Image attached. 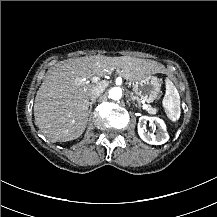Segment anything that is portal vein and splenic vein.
<instances>
[{"mask_svg": "<svg viewBox=\"0 0 217 217\" xmlns=\"http://www.w3.org/2000/svg\"><path fill=\"white\" fill-rule=\"evenodd\" d=\"M93 78H94V81H95V82L100 81V79H101L100 77H97V76H95V77H93ZM93 78H92V79H93Z\"/></svg>", "mask_w": 217, "mask_h": 217, "instance_id": "18ae733b", "label": "portal vein and splenic vein"}]
</instances>
